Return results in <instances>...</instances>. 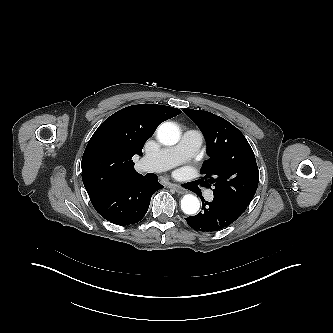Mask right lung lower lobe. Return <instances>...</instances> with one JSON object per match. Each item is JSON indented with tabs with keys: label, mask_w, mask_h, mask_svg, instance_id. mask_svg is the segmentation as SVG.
<instances>
[{
	"label": "right lung lower lobe",
	"mask_w": 333,
	"mask_h": 333,
	"mask_svg": "<svg viewBox=\"0 0 333 333\" xmlns=\"http://www.w3.org/2000/svg\"><path fill=\"white\" fill-rule=\"evenodd\" d=\"M163 188L144 177L108 188L90 200L95 210L111 223L126 226L139 222L146 214L152 194Z\"/></svg>",
	"instance_id": "obj_1"
}]
</instances>
